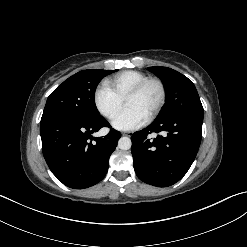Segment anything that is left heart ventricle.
Wrapping results in <instances>:
<instances>
[{"label":"left heart ventricle","instance_id":"b2bd125f","mask_svg":"<svg viewBox=\"0 0 247 247\" xmlns=\"http://www.w3.org/2000/svg\"><path fill=\"white\" fill-rule=\"evenodd\" d=\"M160 98V91L155 84L148 85L139 95L129 98L126 106L138 108L144 114L149 116Z\"/></svg>","mask_w":247,"mask_h":247}]
</instances>
